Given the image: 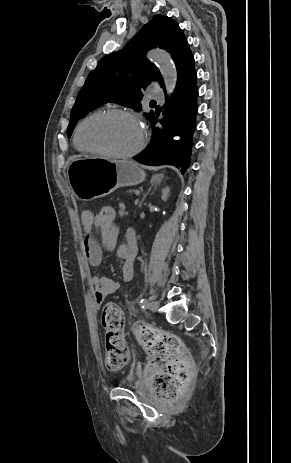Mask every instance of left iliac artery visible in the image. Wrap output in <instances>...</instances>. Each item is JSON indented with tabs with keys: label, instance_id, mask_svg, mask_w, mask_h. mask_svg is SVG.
Returning <instances> with one entry per match:
<instances>
[{
	"label": "left iliac artery",
	"instance_id": "1",
	"mask_svg": "<svg viewBox=\"0 0 291 463\" xmlns=\"http://www.w3.org/2000/svg\"><path fill=\"white\" fill-rule=\"evenodd\" d=\"M140 305H141V307H142L143 309L148 308V306H149V300H148L147 298H142V299L140 300Z\"/></svg>",
	"mask_w": 291,
	"mask_h": 463
}]
</instances>
